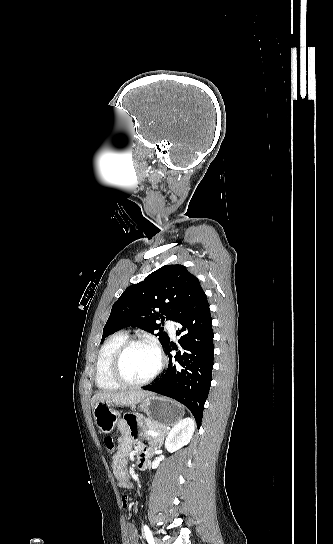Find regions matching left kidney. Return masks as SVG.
Segmentation results:
<instances>
[{
    "label": "left kidney",
    "instance_id": "1",
    "mask_svg": "<svg viewBox=\"0 0 333 544\" xmlns=\"http://www.w3.org/2000/svg\"><path fill=\"white\" fill-rule=\"evenodd\" d=\"M195 424L191 418H185L175 425L165 441V448L173 453L187 445L194 433Z\"/></svg>",
    "mask_w": 333,
    "mask_h": 544
}]
</instances>
